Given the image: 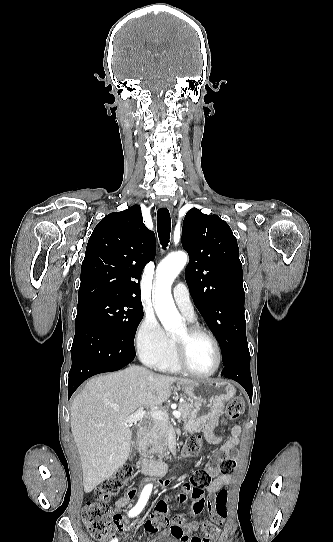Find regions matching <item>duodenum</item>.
I'll return each instance as SVG.
<instances>
[{
	"label": "duodenum",
	"mask_w": 333,
	"mask_h": 542,
	"mask_svg": "<svg viewBox=\"0 0 333 542\" xmlns=\"http://www.w3.org/2000/svg\"><path fill=\"white\" fill-rule=\"evenodd\" d=\"M137 443L143 446L145 443V433L141 431L138 435ZM138 468L146 475L154 477H163L168 471V465L163 461L140 460Z\"/></svg>",
	"instance_id": "obj_1"
}]
</instances>
